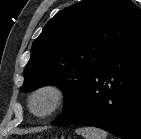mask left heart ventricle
Here are the masks:
<instances>
[{"instance_id": "left-heart-ventricle-1", "label": "left heart ventricle", "mask_w": 141, "mask_h": 139, "mask_svg": "<svg viewBox=\"0 0 141 139\" xmlns=\"http://www.w3.org/2000/svg\"><path fill=\"white\" fill-rule=\"evenodd\" d=\"M51 102V97L48 94L39 96L35 102V109L38 112L46 110Z\"/></svg>"}]
</instances>
